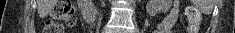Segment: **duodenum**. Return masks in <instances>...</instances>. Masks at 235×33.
I'll return each mask as SVG.
<instances>
[{"mask_svg": "<svg viewBox=\"0 0 235 33\" xmlns=\"http://www.w3.org/2000/svg\"><path fill=\"white\" fill-rule=\"evenodd\" d=\"M93 14V16H94V12L92 13ZM93 20H94V18H91V22L93 23Z\"/></svg>", "mask_w": 235, "mask_h": 33, "instance_id": "obj_1", "label": "duodenum"}]
</instances>
